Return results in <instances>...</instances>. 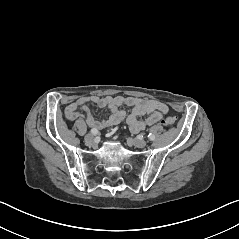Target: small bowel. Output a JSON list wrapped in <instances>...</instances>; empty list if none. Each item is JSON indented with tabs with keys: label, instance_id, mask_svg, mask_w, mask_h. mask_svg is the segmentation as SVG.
<instances>
[{
	"label": "small bowel",
	"instance_id": "c3829d8e",
	"mask_svg": "<svg viewBox=\"0 0 239 239\" xmlns=\"http://www.w3.org/2000/svg\"><path fill=\"white\" fill-rule=\"evenodd\" d=\"M90 103L108 108L109 115L103 119L94 118L87 109ZM122 105L131 108L127 117L126 112L121 109ZM168 112V106L160 101L123 96H84L65 108V116L68 120L83 119L92 129H105L120 123L126 117L127 125L133 132H140L145 127L155 124Z\"/></svg>",
	"mask_w": 239,
	"mask_h": 239
}]
</instances>
